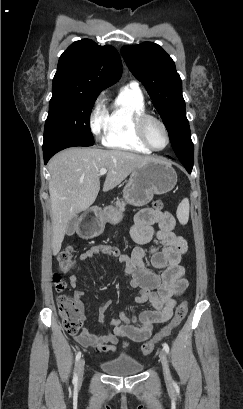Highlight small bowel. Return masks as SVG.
Returning <instances> with one entry per match:
<instances>
[{
    "label": "small bowel",
    "mask_w": 243,
    "mask_h": 409,
    "mask_svg": "<svg viewBox=\"0 0 243 409\" xmlns=\"http://www.w3.org/2000/svg\"><path fill=\"white\" fill-rule=\"evenodd\" d=\"M158 229L155 230L154 226ZM176 221L168 211L147 208L141 210L134 219L130 234L135 243L146 245L156 238L160 246L148 249L136 247L130 255L107 244H97L80 255L81 261H87L97 254L110 255L125 265V273L130 277V286L138 289L135 297L138 305L149 303L151 308L142 311L138 316L130 317L126 311H121L110 321L111 330L98 335L89 329H83L76 336V341L83 347H93L97 352L116 353V346L120 338L135 342H143L150 338L154 324L164 323L171 317L176 305L175 297L184 293L189 285L185 269L181 265V258L188 250L186 240L175 234ZM149 256L154 269L162 270L159 275L147 268L144 258ZM70 285L74 288L73 297L83 307V291L77 289L78 280L75 275L70 276ZM112 302L108 299L103 306ZM123 343L122 349H126Z\"/></svg>",
    "instance_id": "1"
}]
</instances>
